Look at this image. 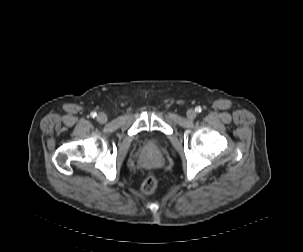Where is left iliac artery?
<instances>
[{
    "mask_svg": "<svg viewBox=\"0 0 303 252\" xmlns=\"http://www.w3.org/2000/svg\"><path fill=\"white\" fill-rule=\"evenodd\" d=\"M195 110H196L198 113H200L202 109H201V107L199 106V107H196Z\"/></svg>",
    "mask_w": 303,
    "mask_h": 252,
    "instance_id": "left-iliac-artery-1",
    "label": "left iliac artery"
}]
</instances>
